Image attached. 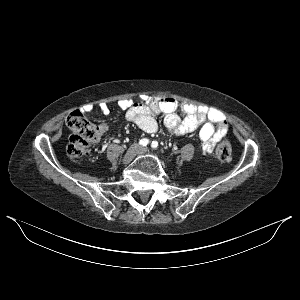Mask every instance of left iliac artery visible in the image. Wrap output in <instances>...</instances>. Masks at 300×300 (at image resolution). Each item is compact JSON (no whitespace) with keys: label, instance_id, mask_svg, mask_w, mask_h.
Instances as JSON below:
<instances>
[{"label":"left iliac artery","instance_id":"44dca946","mask_svg":"<svg viewBox=\"0 0 300 300\" xmlns=\"http://www.w3.org/2000/svg\"><path fill=\"white\" fill-rule=\"evenodd\" d=\"M151 147L153 149H156L158 147V142L157 141H153L152 144H151Z\"/></svg>","mask_w":300,"mask_h":300}]
</instances>
